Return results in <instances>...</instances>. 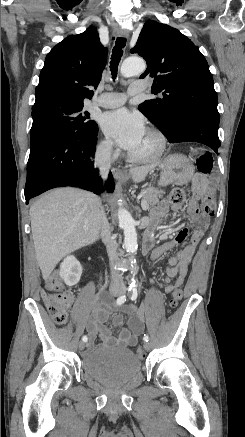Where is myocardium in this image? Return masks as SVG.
<instances>
[{
	"label": "myocardium",
	"instance_id": "myocardium-1",
	"mask_svg": "<svg viewBox=\"0 0 245 437\" xmlns=\"http://www.w3.org/2000/svg\"><path fill=\"white\" fill-rule=\"evenodd\" d=\"M147 133L154 136L157 140V148L154 152L147 156L137 157L132 154L129 155V158L131 161L135 163H150L159 160L166 152L167 146H168V140L165 136V134L154 127H150L147 129Z\"/></svg>",
	"mask_w": 245,
	"mask_h": 437
}]
</instances>
